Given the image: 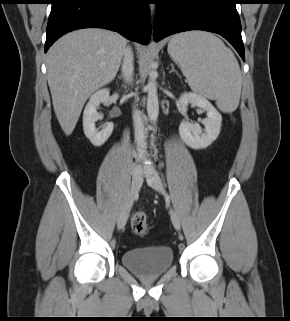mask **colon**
Listing matches in <instances>:
<instances>
[{
  "label": "colon",
  "mask_w": 290,
  "mask_h": 321,
  "mask_svg": "<svg viewBox=\"0 0 290 321\" xmlns=\"http://www.w3.org/2000/svg\"><path fill=\"white\" fill-rule=\"evenodd\" d=\"M130 226L134 234L145 236L148 232L147 215L142 211L135 212L131 217Z\"/></svg>",
  "instance_id": "colon-1"
}]
</instances>
